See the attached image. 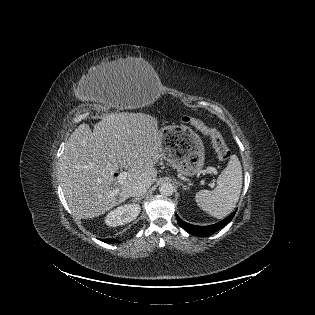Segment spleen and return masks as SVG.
I'll use <instances>...</instances> for the list:
<instances>
[{"label":"spleen","mask_w":315,"mask_h":315,"mask_svg":"<svg viewBox=\"0 0 315 315\" xmlns=\"http://www.w3.org/2000/svg\"><path fill=\"white\" fill-rule=\"evenodd\" d=\"M242 166L236 155H232L227 167L217 178L214 190H200L195 195L197 205L209 215L222 219L235 208L242 188Z\"/></svg>","instance_id":"1"}]
</instances>
